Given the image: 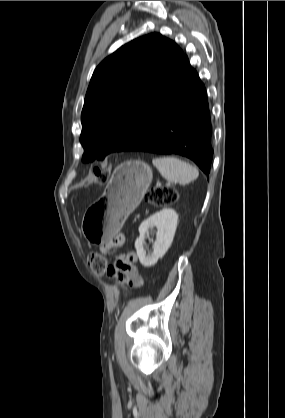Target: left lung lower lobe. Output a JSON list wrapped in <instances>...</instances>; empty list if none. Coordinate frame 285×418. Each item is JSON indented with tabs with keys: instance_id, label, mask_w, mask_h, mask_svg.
<instances>
[{
	"instance_id": "obj_1",
	"label": "left lung lower lobe",
	"mask_w": 285,
	"mask_h": 418,
	"mask_svg": "<svg viewBox=\"0 0 285 418\" xmlns=\"http://www.w3.org/2000/svg\"><path fill=\"white\" fill-rule=\"evenodd\" d=\"M211 133L206 88L184 55L167 89L124 151L179 154L208 174L213 157Z\"/></svg>"
}]
</instances>
